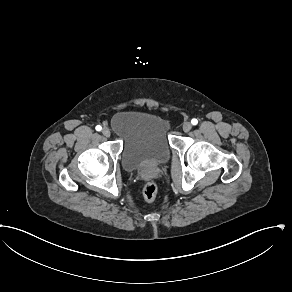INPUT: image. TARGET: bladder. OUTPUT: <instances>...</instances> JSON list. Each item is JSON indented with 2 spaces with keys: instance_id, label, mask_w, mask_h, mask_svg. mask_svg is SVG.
Segmentation results:
<instances>
[{
  "instance_id": "obj_1",
  "label": "bladder",
  "mask_w": 292,
  "mask_h": 292,
  "mask_svg": "<svg viewBox=\"0 0 292 292\" xmlns=\"http://www.w3.org/2000/svg\"><path fill=\"white\" fill-rule=\"evenodd\" d=\"M111 127L122 141L126 170L160 164L170 157V122L165 116L152 110H125L112 117Z\"/></svg>"
}]
</instances>
